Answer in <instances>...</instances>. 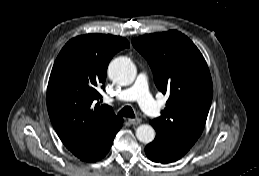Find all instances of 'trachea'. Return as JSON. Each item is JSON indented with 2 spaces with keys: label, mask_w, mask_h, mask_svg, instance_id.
I'll use <instances>...</instances> for the list:
<instances>
[{
  "label": "trachea",
  "mask_w": 259,
  "mask_h": 176,
  "mask_svg": "<svg viewBox=\"0 0 259 176\" xmlns=\"http://www.w3.org/2000/svg\"><path fill=\"white\" fill-rule=\"evenodd\" d=\"M118 114L124 117H130V118L135 117L134 111L130 106H125L118 112Z\"/></svg>",
  "instance_id": "trachea-1"
}]
</instances>
